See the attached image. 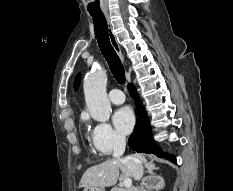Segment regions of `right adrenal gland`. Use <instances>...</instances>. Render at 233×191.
I'll return each mask as SVG.
<instances>
[{"mask_svg": "<svg viewBox=\"0 0 233 191\" xmlns=\"http://www.w3.org/2000/svg\"><path fill=\"white\" fill-rule=\"evenodd\" d=\"M145 168L147 169V172L151 175L150 177L148 178H151V177H154L155 174H154V170H157L159 169L158 167L155 166L154 162L153 161H150V162H147L145 164ZM146 180V178L143 179V182Z\"/></svg>", "mask_w": 233, "mask_h": 191, "instance_id": "2a0ac1e0", "label": "right adrenal gland"}]
</instances>
